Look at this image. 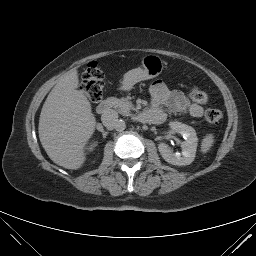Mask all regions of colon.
<instances>
[{
	"instance_id": "obj_1",
	"label": "colon",
	"mask_w": 256,
	"mask_h": 256,
	"mask_svg": "<svg viewBox=\"0 0 256 256\" xmlns=\"http://www.w3.org/2000/svg\"><path fill=\"white\" fill-rule=\"evenodd\" d=\"M104 89V74L96 62L87 65L82 76L81 90L91 101H99L102 98ZM189 97L200 104H206L208 95L198 88H193L189 92ZM223 117L218 109H208L205 112V120L209 123H217Z\"/></svg>"
}]
</instances>
